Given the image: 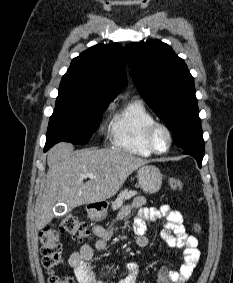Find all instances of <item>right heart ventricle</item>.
Returning a JSON list of instances; mask_svg holds the SVG:
<instances>
[{"label": "right heart ventricle", "mask_w": 233, "mask_h": 283, "mask_svg": "<svg viewBox=\"0 0 233 283\" xmlns=\"http://www.w3.org/2000/svg\"><path fill=\"white\" fill-rule=\"evenodd\" d=\"M155 122L152 113L141 101H131L116 112L109 124L112 146L120 151L148 157L153 153L144 141L146 128Z\"/></svg>", "instance_id": "1"}]
</instances>
